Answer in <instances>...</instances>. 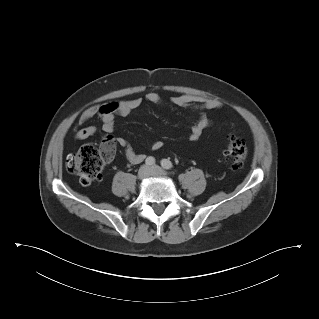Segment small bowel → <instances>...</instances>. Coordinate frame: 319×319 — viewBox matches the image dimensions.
Masks as SVG:
<instances>
[{
    "mask_svg": "<svg viewBox=\"0 0 319 319\" xmlns=\"http://www.w3.org/2000/svg\"><path fill=\"white\" fill-rule=\"evenodd\" d=\"M144 99L153 104H158L162 101V97L156 91H149L145 94ZM143 99L136 97L120 102H109L102 105H92L84 110L80 119L79 125H84L92 118L98 117L102 121L101 131L105 134H111L114 131L115 119L117 116H126L136 110L141 104ZM173 104L196 109L200 112V118L191 126L188 139L191 142L197 141L203 131L212 125V120L207 117L206 112L209 110H219L223 104L220 100L215 98L194 96V95H175L171 98ZM98 132L95 126H85L76 128L74 137L78 140L87 139ZM119 147L122 148L126 159L132 164H139L146 156L137 153L131 144L122 137L116 139ZM162 147V142L156 140L152 143V148L158 150Z\"/></svg>",
    "mask_w": 319,
    "mask_h": 319,
    "instance_id": "obj_1",
    "label": "small bowel"
}]
</instances>
